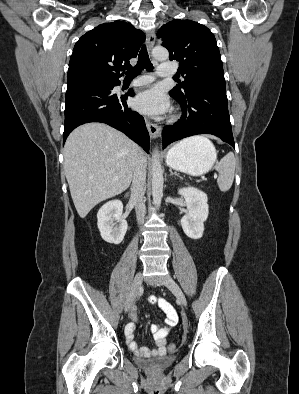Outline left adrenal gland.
<instances>
[{
  "label": "left adrenal gland",
  "instance_id": "a2214340",
  "mask_svg": "<svg viewBox=\"0 0 299 394\" xmlns=\"http://www.w3.org/2000/svg\"><path fill=\"white\" fill-rule=\"evenodd\" d=\"M169 171H170V175H175V176L181 178L177 173H174L171 169Z\"/></svg>",
  "mask_w": 299,
  "mask_h": 394
}]
</instances>
